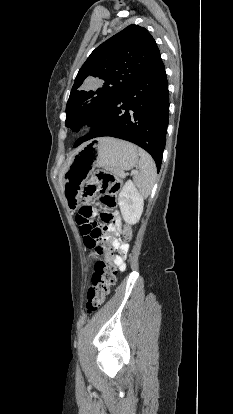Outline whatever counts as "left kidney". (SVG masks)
I'll return each instance as SVG.
<instances>
[{"instance_id":"left-kidney-1","label":"left kidney","mask_w":233,"mask_h":414,"mask_svg":"<svg viewBox=\"0 0 233 414\" xmlns=\"http://www.w3.org/2000/svg\"><path fill=\"white\" fill-rule=\"evenodd\" d=\"M118 204L126 223L134 225L139 222L143 212L144 199L131 180H128L123 186Z\"/></svg>"}]
</instances>
